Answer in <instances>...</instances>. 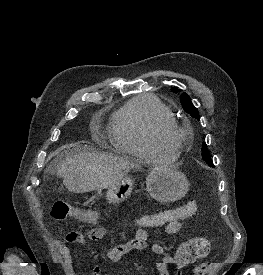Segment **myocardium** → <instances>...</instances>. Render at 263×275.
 I'll use <instances>...</instances> for the list:
<instances>
[{"label": "myocardium", "instance_id": "f54148a6", "mask_svg": "<svg viewBox=\"0 0 263 275\" xmlns=\"http://www.w3.org/2000/svg\"><path fill=\"white\" fill-rule=\"evenodd\" d=\"M186 138V131L175 120L160 122L152 130V140L160 148L177 152Z\"/></svg>", "mask_w": 263, "mask_h": 275}]
</instances>
